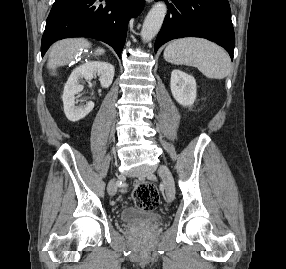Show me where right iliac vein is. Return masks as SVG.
<instances>
[{"label":"right iliac vein","mask_w":286,"mask_h":269,"mask_svg":"<svg viewBox=\"0 0 286 269\" xmlns=\"http://www.w3.org/2000/svg\"><path fill=\"white\" fill-rule=\"evenodd\" d=\"M108 193L113 196L116 193V179H112L108 184Z\"/></svg>","instance_id":"right-iliac-vein-1"}]
</instances>
